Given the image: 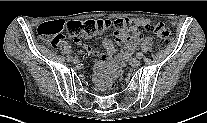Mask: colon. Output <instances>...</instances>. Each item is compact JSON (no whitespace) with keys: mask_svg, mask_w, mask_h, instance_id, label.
<instances>
[{"mask_svg":"<svg viewBox=\"0 0 207 123\" xmlns=\"http://www.w3.org/2000/svg\"><path fill=\"white\" fill-rule=\"evenodd\" d=\"M111 26V22L105 19H89L85 21H70L66 24L67 37L71 40H78L83 37H92L103 33ZM114 28L123 31L143 28L147 31L154 32L161 43L167 45L172 40L170 30L163 23H152L146 20H137L133 18H122L114 21ZM64 29L62 21H51L40 24L37 27V35L50 43L52 47H57L63 36L61 31ZM125 58H119V65L125 62ZM117 81V76L114 74L108 81L107 87L112 88Z\"/></svg>","mask_w":207,"mask_h":123,"instance_id":"colon-1","label":"colon"}]
</instances>
